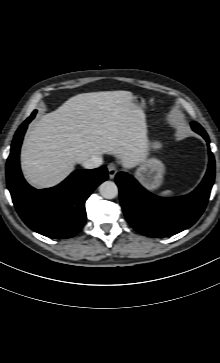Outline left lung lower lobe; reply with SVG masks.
I'll return each mask as SVG.
<instances>
[{
	"label": "left lung lower lobe",
	"instance_id": "obj_1",
	"mask_svg": "<svg viewBox=\"0 0 220 363\" xmlns=\"http://www.w3.org/2000/svg\"><path fill=\"white\" fill-rule=\"evenodd\" d=\"M196 123V122H192ZM200 134L209 145L206 132ZM215 161L209 149V165L200 185L189 195L161 198L147 192L133 177L119 172L116 183L127 221L149 237H167L191 227L203 213L214 183Z\"/></svg>",
	"mask_w": 220,
	"mask_h": 363
}]
</instances>
